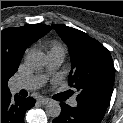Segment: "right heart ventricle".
<instances>
[{
	"label": "right heart ventricle",
	"mask_w": 123,
	"mask_h": 123,
	"mask_svg": "<svg viewBox=\"0 0 123 123\" xmlns=\"http://www.w3.org/2000/svg\"><path fill=\"white\" fill-rule=\"evenodd\" d=\"M53 46H61V45H59L58 43H55Z\"/></svg>",
	"instance_id": "1"
}]
</instances>
